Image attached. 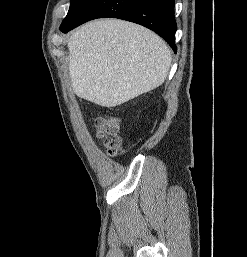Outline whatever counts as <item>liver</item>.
<instances>
[{
    "label": "liver",
    "mask_w": 247,
    "mask_h": 257,
    "mask_svg": "<svg viewBox=\"0 0 247 257\" xmlns=\"http://www.w3.org/2000/svg\"><path fill=\"white\" fill-rule=\"evenodd\" d=\"M68 50L74 93L108 108L159 87L172 62L169 48L156 33L118 19L79 27Z\"/></svg>",
    "instance_id": "obj_1"
}]
</instances>
